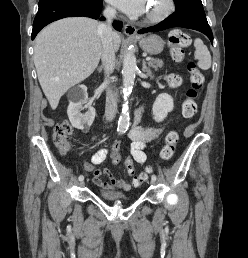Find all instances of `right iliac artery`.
<instances>
[{
	"mask_svg": "<svg viewBox=\"0 0 248 258\" xmlns=\"http://www.w3.org/2000/svg\"><path fill=\"white\" fill-rule=\"evenodd\" d=\"M78 179H79V181H82V180H84V176L80 175Z\"/></svg>",
	"mask_w": 248,
	"mask_h": 258,
	"instance_id": "obj_1",
	"label": "right iliac artery"
}]
</instances>
